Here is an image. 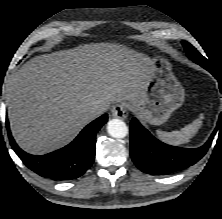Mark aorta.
I'll return each instance as SVG.
<instances>
[{
	"label": "aorta",
	"instance_id": "obj_1",
	"mask_svg": "<svg viewBox=\"0 0 222 219\" xmlns=\"http://www.w3.org/2000/svg\"><path fill=\"white\" fill-rule=\"evenodd\" d=\"M107 132L113 138H124L128 134V127L120 119H112L107 123Z\"/></svg>",
	"mask_w": 222,
	"mask_h": 219
}]
</instances>
